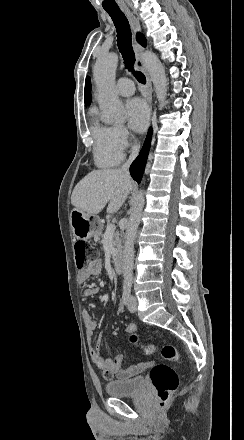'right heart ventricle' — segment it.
<instances>
[{"mask_svg":"<svg viewBox=\"0 0 244 440\" xmlns=\"http://www.w3.org/2000/svg\"><path fill=\"white\" fill-rule=\"evenodd\" d=\"M89 119L91 136L97 142L94 152L96 165L101 168L117 166L123 160V153L122 151L106 150L104 144L110 136V127L100 122L98 109L95 106H91L89 109Z\"/></svg>","mask_w":244,"mask_h":440,"instance_id":"right-heart-ventricle-1","label":"right heart ventricle"}]
</instances>
